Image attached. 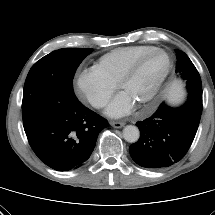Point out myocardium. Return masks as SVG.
Segmentation results:
<instances>
[{"mask_svg": "<svg viewBox=\"0 0 215 215\" xmlns=\"http://www.w3.org/2000/svg\"><path fill=\"white\" fill-rule=\"evenodd\" d=\"M155 54H164L168 59V65H167V68L165 69L163 75L161 76V78L158 80V82L152 89V91L148 94L147 97H145L143 100L140 101L141 105L147 104V103L151 102L152 100H154L156 98V96L159 94V92L161 91L162 87L164 86V84L166 83V81L169 77V74H170L172 66H173V61H172L170 54L167 51L160 49V48H154V49L144 53L143 55L138 57L127 68V70L123 73V75L121 76V78L119 79V81L117 83L118 89L122 90L123 86L135 76V74L137 73L139 68L142 66V64L148 58H150L151 56H153Z\"/></svg>", "mask_w": 215, "mask_h": 215, "instance_id": "myocardium-1", "label": "myocardium"}]
</instances>
